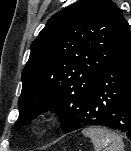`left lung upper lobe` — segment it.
Instances as JSON below:
<instances>
[{
  "mask_svg": "<svg viewBox=\"0 0 131 151\" xmlns=\"http://www.w3.org/2000/svg\"><path fill=\"white\" fill-rule=\"evenodd\" d=\"M130 49L128 23L111 0H79L54 14L31 44L15 127L52 110L66 133L102 71Z\"/></svg>",
  "mask_w": 131,
  "mask_h": 151,
  "instance_id": "obj_1",
  "label": "left lung upper lobe"
}]
</instances>
